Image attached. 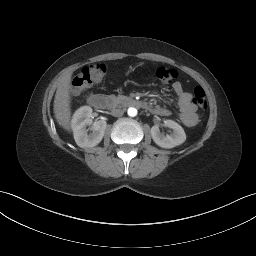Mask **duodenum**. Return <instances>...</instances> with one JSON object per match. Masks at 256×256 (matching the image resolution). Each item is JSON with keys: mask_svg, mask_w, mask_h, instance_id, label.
<instances>
[{"mask_svg": "<svg viewBox=\"0 0 256 256\" xmlns=\"http://www.w3.org/2000/svg\"><path fill=\"white\" fill-rule=\"evenodd\" d=\"M107 102L106 96L101 94L94 93L88 97L89 105L95 109H103L107 105ZM127 103L134 107L148 108V104L146 102L138 99H130Z\"/></svg>", "mask_w": 256, "mask_h": 256, "instance_id": "obj_1", "label": "duodenum"}]
</instances>
